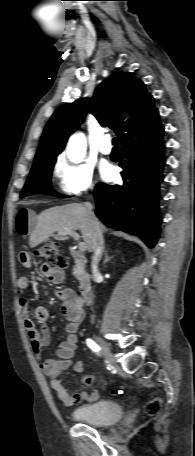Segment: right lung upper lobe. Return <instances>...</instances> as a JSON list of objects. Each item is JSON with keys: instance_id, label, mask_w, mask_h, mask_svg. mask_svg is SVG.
I'll return each mask as SVG.
<instances>
[{"instance_id": "cb5924a9", "label": "right lung upper lobe", "mask_w": 195, "mask_h": 456, "mask_svg": "<svg viewBox=\"0 0 195 456\" xmlns=\"http://www.w3.org/2000/svg\"><path fill=\"white\" fill-rule=\"evenodd\" d=\"M88 111L103 127L114 129L121 144L136 134L162 127L145 84L130 73H117L104 80L90 100L79 99L55 111L43 132L34 164L56 159Z\"/></svg>"}]
</instances>
